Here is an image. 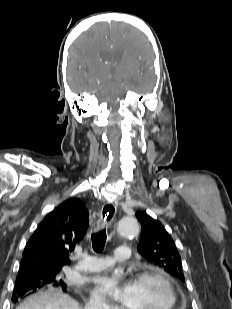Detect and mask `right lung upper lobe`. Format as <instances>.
Wrapping results in <instances>:
<instances>
[{"instance_id": "cb5924a9", "label": "right lung upper lobe", "mask_w": 232, "mask_h": 309, "mask_svg": "<svg viewBox=\"0 0 232 309\" xmlns=\"http://www.w3.org/2000/svg\"><path fill=\"white\" fill-rule=\"evenodd\" d=\"M88 224V211L79 199L60 204L40 222L26 243L19 271L36 274L68 265V251L84 238Z\"/></svg>"}]
</instances>
